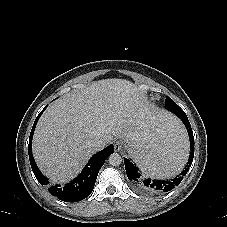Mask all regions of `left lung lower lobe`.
<instances>
[{
  "mask_svg": "<svg viewBox=\"0 0 227 227\" xmlns=\"http://www.w3.org/2000/svg\"><path fill=\"white\" fill-rule=\"evenodd\" d=\"M165 107L177 115L184 125L186 126V129L189 134L190 138V155L188 158V162L185 165V168L183 171L175 176L172 179L169 180H151V179H145L138 167L134 162L131 161V159L124 158L125 162V169H126V174L129 180L131 181L132 185L134 188L142 193L148 194V195H159L163 194L166 192L171 191L174 187L179 185V183L182 181L183 177L187 174L189 167L192 164L193 158H194V136H193V131L190 125V122L187 118V115L185 112L169 97L166 98L165 100Z\"/></svg>",
  "mask_w": 227,
  "mask_h": 227,
  "instance_id": "0a47b994",
  "label": "left lung lower lobe"
}]
</instances>
